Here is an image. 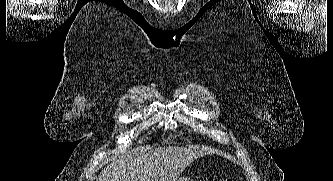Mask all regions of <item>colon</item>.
<instances>
[{"instance_id":"obj_1","label":"colon","mask_w":333,"mask_h":181,"mask_svg":"<svg viewBox=\"0 0 333 181\" xmlns=\"http://www.w3.org/2000/svg\"><path fill=\"white\" fill-rule=\"evenodd\" d=\"M224 181H234V180H232V179L228 178V179H225Z\"/></svg>"}]
</instances>
